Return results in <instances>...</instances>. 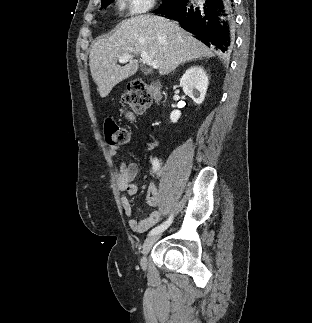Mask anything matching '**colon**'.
Masks as SVG:
<instances>
[{"label":"colon","instance_id":"1","mask_svg":"<svg viewBox=\"0 0 312 323\" xmlns=\"http://www.w3.org/2000/svg\"><path fill=\"white\" fill-rule=\"evenodd\" d=\"M156 90V85H151L143 79H131L127 91L121 96V103L124 105L122 113L125 118L130 121L134 113L150 106L154 100L159 101ZM104 138L109 146H123L128 141L129 131L120 123L107 119L104 123Z\"/></svg>","mask_w":312,"mask_h":323}]
</instances>
